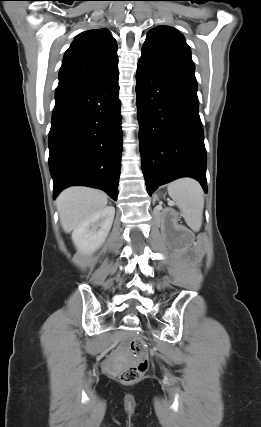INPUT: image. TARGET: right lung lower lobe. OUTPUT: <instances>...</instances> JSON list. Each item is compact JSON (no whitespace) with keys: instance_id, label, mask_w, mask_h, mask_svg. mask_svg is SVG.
<instances>
[{"instance_id":"obj_1","label":"right lung lower lobe","mask_w":261,"mask_h":427,"mask_svg":"<svg viewBox=\"0 0 261 427\" xmlns=\"http://www.w3.org/2000/svg\"><path fill=\"white\" fill-rule=\"evenodd\" d=\"M118 74L56 96L49 132L53 195L85 185L117 200L122 131Z\"/></svg>"}]
</instances>
